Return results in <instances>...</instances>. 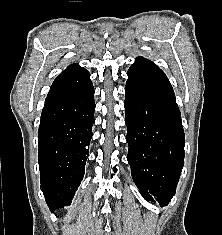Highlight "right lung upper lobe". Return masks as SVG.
Returning a JSON list of instances; mask_svg holds the SVG:
<instances>
[{
    "label": "right lung upper lobe",
    "mask_w": 222,
    "mask_h": 235,
    "mask_svg": "<svg viewBox=\"0 0 222 235\" xmlns=\"http://www.w3.org/2000/svg\"><path fill=\"white\" fill-rule=\"evenodd\" d=\"M81 70H84V68L80 67L78 63H75V64H71L67 67V69H65L60 75H63L65 73H72V72H78V71H81Z\"/></svg>",
    "instance_id": "1"
}]
</instances>
